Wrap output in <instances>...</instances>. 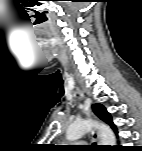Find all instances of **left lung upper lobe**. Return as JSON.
<instances>
[{
    "label": "left lung upper lobe",
    "mask_w": 142,
    "mask_h": 151,
    "mask_svg": "<svg viewBox=\"0 0 142 151\" xmlns=\"http://www.w3.org/2000/svg\"><path fill=\"white\" fill-rule=\"evenodd\" d=\"M93 111L94 113L103 121H105L107 124H109L112 129L117 133V128L114 125V123L112 122V118L110 116V114L107 112V110L105 109V107L101 104H94L92 105Z\"/></svg>",
    "instance_id": "5c2ea615"
}]
</instances>
